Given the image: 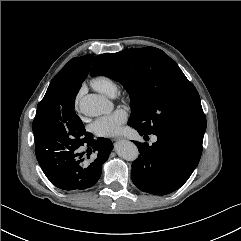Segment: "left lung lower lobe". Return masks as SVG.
<instances>
[{
	"label": "left lung lower lobe",
	"mask_w": 241,
	"mask_h": 241,
	"mask_svg": "<svg viewBox=\"0 0 241 241\" xmlns=\"http://www.w3.org/2000/svg\"><path fill=\"white\" fill-rule=\"evenodd\" d=\"M142 136L135 123H130ZM157 141L135 142L139 157L132 163L133 183L143 192L166 195L179 189L190 177L202 154L203 136L176 128H164Z\"/></svg>",
	"instance_id": "0a47b994"
}]
</instances>
